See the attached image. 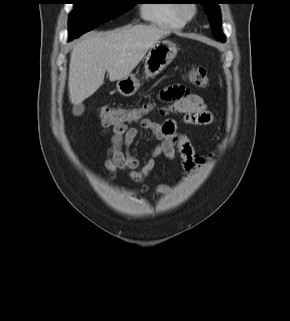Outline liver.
Here are the masks:
<instances>
[{
  "label": "liver",
  "mask_w": 290,
  "mask_h": 321,
  "mask_svg": "<svg viewBox=\"0 0 290 321\" xmlns=\"http://www.w3.org/2000/svg\"><path fill=\"white\" fill-rule=\"evenodd\" d=\"M168 34L154 25H136L84 35L70 55V101L80 104L93 95L104 83L106 71L110 81L130 75L146 52Z\"/></svg>",
  "instance_id": "6515ba94"
}]
</instances>
